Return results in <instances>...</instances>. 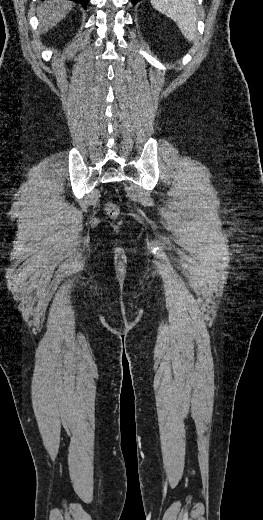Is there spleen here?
Here are the masks:
<instances>
[{"instance_id": "spleen-1", "label": "spleen", "mask_w": 263, "mask_h": 520, "mask_svg": "<svg viewBox=\"0 0 263 520\" xmlns=\"http://www.w3.org/2000/svg\"><path fill=\"white\" fill-rule=\"evenodd\" d=\"M152 6L170 17L184 37L193 42L197 37V10L195 0H150Z\"/></svg>"}]
</instances>
